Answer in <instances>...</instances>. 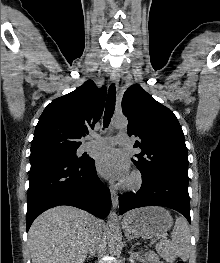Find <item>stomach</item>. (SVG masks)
Segmentation results:
<instances>
[{
    "instance_id": "stomach-1",
    "label": "stomach",
    "mask_w": 220,
    "mask_h": 263,
    "mask_svg": "<svg viewBox=\"0 0 220 263\" xmlns=\"http://www.w3.org/2000/svg\"><path fill=\"white\" fill-rule=\"evenodd\" d=\"M123 228L127 233L153 238L167 232L173 220L170 213L157 206L138 208L128 212L123 218Z\"/></svg>"
}]
</instances>
